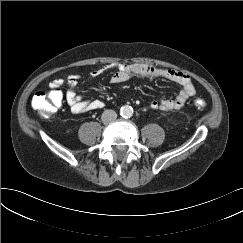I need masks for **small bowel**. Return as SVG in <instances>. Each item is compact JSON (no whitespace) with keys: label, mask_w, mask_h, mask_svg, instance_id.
I'll use <instances>...</instances> for the list:
<instances>
[{"label":"small bowel","mask_w":243,"mask_h":243,"mask_svg":"<svg viewBox=\"0 0 243 243\" xmlns=\"http://www.w3.org/2000/svg\"><path fill=\"white\" fill-rule=\"evenodd\" d=\"M114 70L110 78L112 84L126 82L131 77L139 78H157L162 77L178 83L181 90L171 99L161 98L151 101L150 107L155 110L170 111L180 109L185 102L195 94L196 88L192 78L187 73L164 69L151 64L141 63H114L109 66ZM103 72V69L91 71L90 78H96ZM80 76L77 74L68 75L65 78H57L50 82L51 90L59 89L63 84L68 86L65 98L71 113L81 115L90 111L98 110L104 107V102L100 99L86 98L77 94L76 86Z\"/></svg>","instance_id":"obj_1"}]
</instances>
